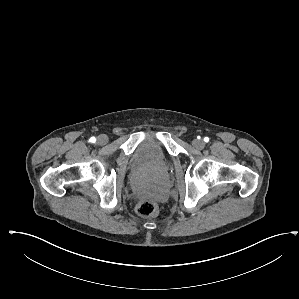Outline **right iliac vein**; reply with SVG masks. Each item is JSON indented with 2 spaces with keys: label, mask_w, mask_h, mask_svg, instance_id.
I'll list each match as a JSON object with an SVG mask.
<instances>
[{
  "label": "right iliac vein",
  "mask_w": 299,
  "mask_h": 299,
  "mask_svg": "<svg viewBox=\"0 0 299 299\" xmlns=\"http://www.w3.org/2000/svg\"><path fill=\"white\" fill-rule=\"evenodd\" d=\"M107 142H108V137L106 135L102 134L97 137V143L99 145H105Z\"/></svg>",
  "instance_id": "63e3f726"
}]
</instances>
